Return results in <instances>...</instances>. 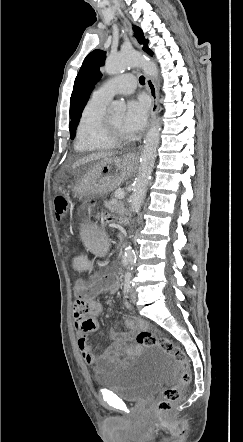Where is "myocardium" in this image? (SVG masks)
Here are the masks:
<instances>
[{"label":"myocardium","instance_id":"f54148a6","mask_svg":"<svg viewBox=\"0 0 243 442\" xmlns=\"http://www.w3.org/2000/svg\"><path fill=\"white\" fill-rule=\"evenodd\" d=\"M102 135L103 138L110 144L118 145L125 142L127 135L117 132L112 126L108 117H104L102 121Z\"/></svg>","mask_w":243,"mask_h":442}]
</instances>
